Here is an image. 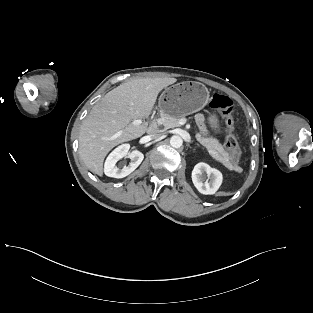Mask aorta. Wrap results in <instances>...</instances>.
<instances>
[{
  "instance_id": "1",
  "label": "aorta",
  "mask_w": 313,
  "mask_h": 313,
  "mask_svg": "<svg viewBox=\"0 0 313 313\" xmlns=\"http://www.w3.org/2000/svg\"><path fill=\"white\" fill-rule=\"evenodd\" d=\"M183 140L180 136L174 135L170 138V145L174 148H180L182 146Z\"/></svg>"
}]
</instances>
